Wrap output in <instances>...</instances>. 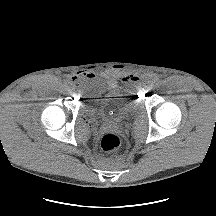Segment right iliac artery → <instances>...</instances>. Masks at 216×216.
<instances>
[{
  "instance_id": "1",
  "label": "right iliac artery",
  "mask_w": 216,
  "mask_h": 216,
  "mask_svg": "<svg viewBox=\"0 0 216 216\" xmlns=\"http://www.w3.org/2000/svg\"><path fill=\"white\" fill-rule=\"evenodd\" d=\"M73 87L70 85V86H66V91H71Z\"/></svg>"
}]
</instances>
